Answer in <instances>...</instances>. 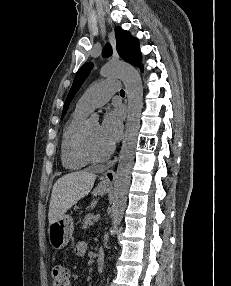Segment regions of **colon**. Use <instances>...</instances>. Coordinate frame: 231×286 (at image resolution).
Masks as SVG:
<instances>
[{"label": "colon", "instance_id": "5ec220e1", "mask_svg": "<svg viewBox=\"0 0 231 286\" xmlns=\"http://www.w3.org/2000/svg\"><path fill=\"white\" fill-rule=\"evenodd\" d=\"M70 270L64 265H55L52 269L53 286H70Z\"/></svg>", "mask_w": 231, "mask_h": 286}]
</instances>
